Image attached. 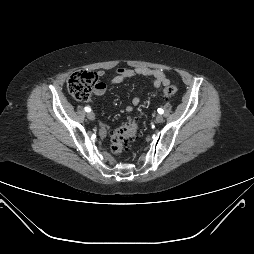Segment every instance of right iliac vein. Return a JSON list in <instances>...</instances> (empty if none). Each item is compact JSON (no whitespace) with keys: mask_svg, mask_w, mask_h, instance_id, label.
I'll return each instance as SVG.
<instances>
[{"mask_svg":"<svg viewBox=\"0 0 254 254\" xmlns=\"http://www.w3.org/2000/svg\"><path fill=\"white\" fill-rule=\"evenodd\" d=\"M87 118L89 120H94L95 119V114L93 112H89V113H87Z\"/></svg>","mask_w":254,"mask_h":254,"instance_id":"obj_1","label":"right iliac vein"}]
</instances>
